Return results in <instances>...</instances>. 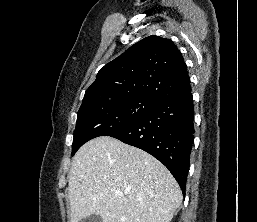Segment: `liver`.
Instances as JSON below:
<instances>
[{
  "label": "liver",
  "mask_w": 257,
  "mask_h": 222,
  "mask_svg": "<svg viewBox=\"0 0 257 222\" xmlns=\"http://www.w3.org/2000/svg\"><path fill=\"white\" fill-rule=\"evenodd\" d=\"M71 221L170 222L182 202L168 169L147 152L109 136L85 143L69 173Z\"/></svg>",
  "instance_id": "liver-1"
}]
</instances>
